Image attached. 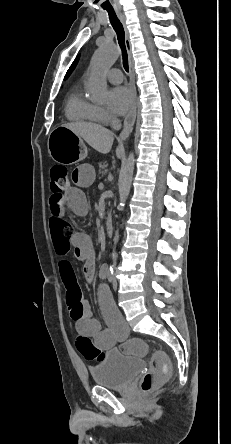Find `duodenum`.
<instances>
[{
  "instance_id": "410a0bca",
  "label": "duodenum",
  "mask_w": 231,
  "mask_h": 444,
  "mask_svg": "<svg viewBox=\"0 0 231 444\" xmlns=\"http://www.w3.org/2000/svg\"><path fill=\"white\" fill-rule=\"evenodd\" d=\"M105 232H106V234H107L108 236H112V235H113V232H114V223H113V219H112V218H109V219L106 220V223H105ZM105 276H106V273L103 272V273H102V277H105Z\"/></svg>"
}]
</instances>
